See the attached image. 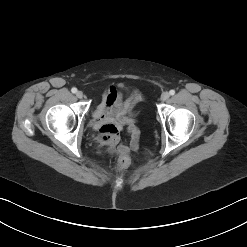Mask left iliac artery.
<instances>
[{"instance_id":"left-iliac-artery-1","label":"left iliac artery","mask_w":247,"mask_h":247,"mask_svg":"<svg viewBox=\"0 0 247 247\" xmlns=\"http://www.w3.org/2000/svg\"><path fill=\"white\" fill-rule=\"evenodd\" d=\"M169 93H170V95H174L175 94V90H170Z\"/></svg>"}]
</instances>
